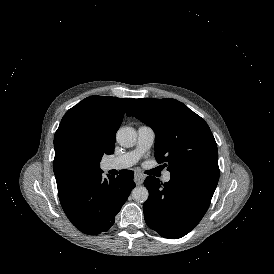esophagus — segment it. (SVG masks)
<instances>
[{
  "mask_svg": "<svg viewBox=\"0 0 274 274\" xmlns=\"http://www.w3.org/2000/svg\"><path fill=\"white\" fill-rule=\"evenodd\" d=\"M144 181V176L140 173H135L134 175V182L136 183V185H140L142 184Z\"/></svg>",
  "mask_w": 274,
  "mask_h": 274,
  "instance_id": "obj_1",
  "label": "esophagus"
}]
</instances>
